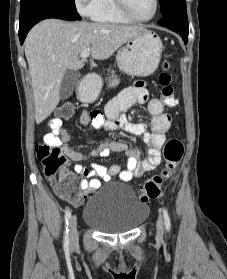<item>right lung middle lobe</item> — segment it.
Returning a JSON list of instances; mask_svg holds the SVG:
<instances>
[{"label": "right lung middle lobe", "instance_id": "1", "mask_svg": "<svg viewBox=\"0 0 227 279\" xmlns=\"http://www.w3.org/2000/svg\"><path fill=\"white\" fill-rule=\"evenodd\" d=\"M32 0H21V3H20V8L24 7L25 5H27L28 3H30ZM57 1H60L62 4L70 7L71 9H74L76 10V7H75V2L74 0H57Z\"/></svg>", "mask_w": 227, "mask_h": 279}]
</instances>
